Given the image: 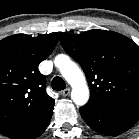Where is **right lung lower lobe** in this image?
Segmentation results:
<instances>
[{"label": "right lung lower lobe", "instance_id": "obj_1", "mask_svg": "<svg viewBox=\"0 0 139 139\" xmlns=\"http://www.w3.org/2000/svg\"><path fill=\"white\" fill-rule=\"evenodd\" d=\"M53 113V106L33 121L12 130L5 136L11 139H34L40 136L47 128Z\"/></svg>", "mask_w": 139, "mask_h": 139}]
</instances>
